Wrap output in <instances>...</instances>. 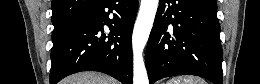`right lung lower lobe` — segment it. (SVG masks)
<instances>
[{
    "instance_id": "obj_1",
    "label": "right lung lower lobe",
    "mask_w": 260,
    "mask_h": 84,
    "mask_svg": "<svg viewBox=\"0 0 260 84\" xmlns=\"http://www.w3.org/2000/svg\"><path fill=\"white\" fill-rule=\"evenodd\" d=\"M137 8L138 0H100L65 25L52 37L50 84L81 71L103 72L132 84L131 38ZM104 25L111 31L107 36Z\"/></svg>"
}]
</instances>
